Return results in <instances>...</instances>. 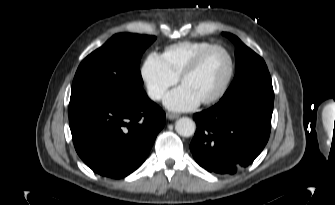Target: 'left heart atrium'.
<instances>
[{
	"label": "left heart atrium",
	"instance_id": "39dd6f15",
	"mask_svg": "<svg viewBox=\"0 0 335 205\" xmlns=\"http://www.w3.org/2000/svg\"><path fill=\"white\" fill-rule=\"evenodd\" d=\"M200 100L185 86L181 85L167 94L164 104L174 111H186L196 107Z\"/></svg>",
	"mask_w": 335,
	"mask_h": 205
}]
</instances>
